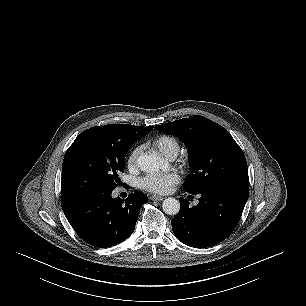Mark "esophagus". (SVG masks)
Returning a JSON list of instances; mask_svg holds the SVG:
<instances>
[{"instance_id":"obj_1","label":"esophagus","mask_w":306,"mask_h":306,"mask_svg":"<svg viewBox=\"0 0 306 306\" xmlns=\"http://www.w3.org/2000/svg\"><path fill=\"white\" fill-rule=\"evenodd\" d=\"M150 199L152 201H162L164 199V197L158 196V195H152V196H150Z\"/></svg>"}]
</instances>
